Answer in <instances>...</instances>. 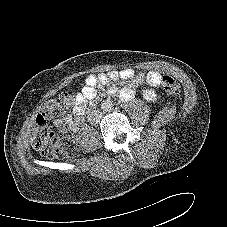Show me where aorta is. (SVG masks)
I'll list each match as a JSON object with an SVG mask.
<instances>
[{
	"mask_svg": "<svg viewBox=\"0 0 227 227\" xmlns=\"http://www.w3.org/2000/svg\"><path fill=\"white\" fill-rule=\"evenodd\" d=\"M101 108L104 110V111H111L113 109V103L111 100H104L101 104Z\"/></svg>",
	"mask_w": 227,
	"mask_h": 227,
	"instance_id": "aorta-1",
	"label": "aorta"
}]
</instances>
